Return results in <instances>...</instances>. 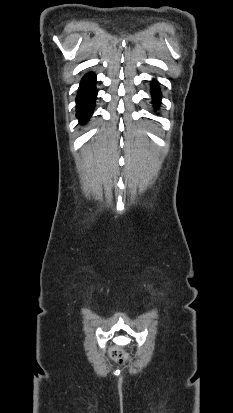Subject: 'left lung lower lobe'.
Returning <instances> with one entry per match:
<instances>
[{"label":"left lung lower lobe","instance_id":"left-lung-lower-lobe-1","mask_svg":"<svg viewBox=\"0 0 233 413\" xmlns=\"http://www.w3.org/2000/svg\"><path fill=\"white\" fill-rule=\"evenodd\" d=\"M152 96H153V98H154V100H155V104L156 105H158L159 104V101H160V98H161V93H160V91H159V89H158V83L156 82V81H153L152 82Z\"/></svg>","mask_w":233,"mask_h":413}]
</instances>
